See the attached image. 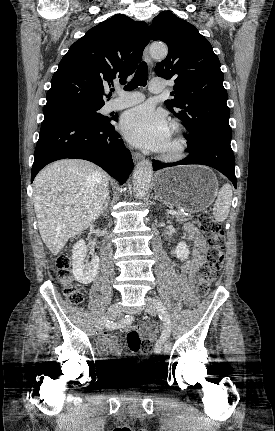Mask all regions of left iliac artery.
I'll return each mask as SVG.
<instances>
[{
	"label": "left iliac artery",
	"mask_w": 275,
	"mask_h": 431,
	"mask_svg": "<svg viewBox=\"0 0 275 431\" xmlns=\"http://www.w3.org/2000/svg\"><path fill=\"white\" fill-rule=\"evenodd\" d=\"M156 307L159 314V318L164 322V330L163 333L155 345L154 351L156 353H160L163 347V344L167 341L171 333V320L169 314L163 305L162 301L159 298L155 299Z\"/></svg>",
	"instance_id": "44dca946"
}]
</instances>
